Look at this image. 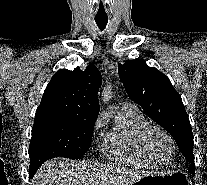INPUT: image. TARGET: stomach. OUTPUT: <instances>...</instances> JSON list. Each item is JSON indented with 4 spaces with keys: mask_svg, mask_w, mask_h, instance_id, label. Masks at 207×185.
<instances>
[{
    "mask_svg": "<svg viewBox=\"0 0 207 185\" xmlns=\"http://www.w3.org/2000/svg\"><path fill=\"white\" fill-rule=\"evenodd\" d=\"M134 185H189L183 172L146 175L138 179Z\"/></svg>",
    "mask_w": 207,
    "mask_h": 185,
    "instance_id": "obj_1",
    "label": "stomach"
}]
</instances>
